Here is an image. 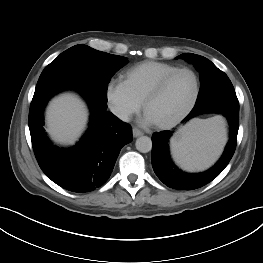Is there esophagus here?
Instances as JSON below:
<instances>
[{"mask_svg":"<svg viewBox=\"0 0 263 263\" xmlns=\"http://www.w3.org/2000/svg\"><path fill=\"white\" fill-rule=\"evenodd\" d=\"M132 132H133L134 137H139V136L143 135V132L136 127L133 128Z\"/></svg>","mask_w":263,"mask_h":263,"instance_id":"esophagus-1","label":"esophagus"}]
</instances>
